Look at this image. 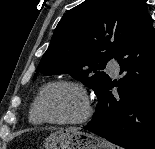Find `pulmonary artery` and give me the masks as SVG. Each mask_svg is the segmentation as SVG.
<instances>
[{"label": "pulmonary artery", "mask_w": 155, "mask_h": 149, "mask_svg": "<svg viewBox=\"0 0 155 149\" xmlns=\"http://www.w3.org/2000/svg\"><path fill=\"white\" fill-rule=\"evenodd\" d=\"M107 69L114 75H117L120 69L119 63L116 60H111L107 64Z\"/></svg>", "instance_id": "pulmonary-artery-1"}]
</instances>
